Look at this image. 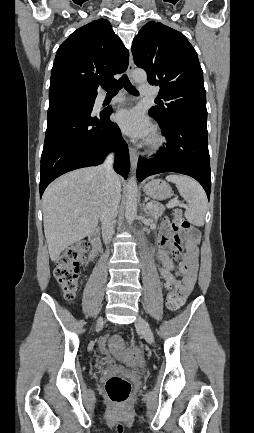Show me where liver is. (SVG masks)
Listing matches in <instances>:
<instances>
[{"label":"liver","mask_w":254,"mask_h":433,"mask_svg":"<svg viewBox=\"0 0 254 433\" xmlns=\"http://www.w3.org/2000/svg\"><path fill=\"white\" fill-rule=\"evenodd\" d=\"M105 199V175L97 167L67 173L47 188L42 198L43 222L53 262L95 230Z\"/></svg>","instance_id":"obj_1"}]
</instances>
